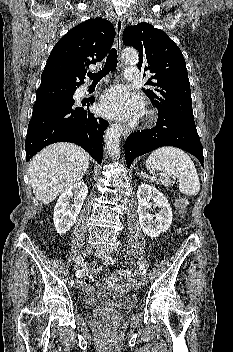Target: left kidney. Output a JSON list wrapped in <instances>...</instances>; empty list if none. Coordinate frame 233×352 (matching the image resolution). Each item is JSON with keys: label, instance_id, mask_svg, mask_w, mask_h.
I'll return each mask as SVG.
<instances>
[{"label": "left kidney", "instance_id": "obj_1", "mask_svg": "<svg viewBox=\"0 0 233 352\" xmlns=\"http://www.w3.org/2000/svg\"><path fill=\"white\" fill-rule=\"evenodd\" d=\"M138 216L142 231L153 238L169 229L172 223V211L167 198L155 187L141 184L137 190ZM154 201V207L159 208L155 215L149 213V201Z\"/></svg>", "mask_w": 233, "mask_h": 352}]
</instances>
